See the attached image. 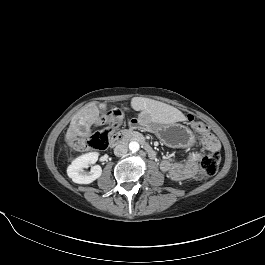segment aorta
Masks as SVG:
<instances>
[{
	"label": "aorta",
	"mask_w": 265,
	"mask_h": 265,
	"mask_svg": "<svg viewBox=\"0 0 265 265\" xmlns=\"http://www.w3.org/2000/svg\"><path fill=\"white\" fill-rule=\"evenodd\" d=\"M139 149H140V145H139L138 142H136V141H131V142L129 143V150H130L131 152L135 153V152L139 151Z\"/></svg>",
	"instance_id": "obj_1"
}]
</instances>
